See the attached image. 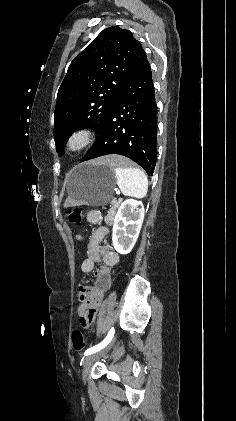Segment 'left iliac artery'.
<instances>
[{
  "mask_svg": "<svg viewBox=\"0 0 236 421\" xmlns=\"http://www.w3.org/2000/svg\"><path fill=\"white\" fill-rule=\"evenodd\" d=\"M114 328L112 327L111 328V330L109 331V333H108V335L106 336V338L100 343V344H98V345H95V346H93V347H91V348H89V349H87L85 352H84V355L85 356H87V355H90V354H92V353H95V352H97V351H99V350H101V349H103L105 346H107L108 344H109V342L112 340V338H113V336H114Z\"/></svg>",
  "mask_w": 236,
  "mask_h": 421,
  "instance_id": "left-iliac-artery-1",
  "label": "left iliac artery"
}]
</instances>
